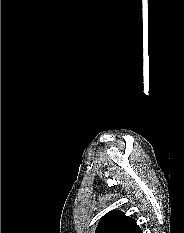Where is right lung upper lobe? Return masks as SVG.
I'll return each mask as SVG.
<instances>
[{"label":"right lung upper lobe","instance_id":"obj_1","mask_svg":"<svg viewBox=\"0 0 184 233\" xmlns=\"http://www.w3.org/2000/svg\"><path fill=\"white\" fill-rule=\"evenodd\" d=\"M139 230L134 219L121 211L112 210L101 218L95 233H138Z\"/></svg>","mask_w":184,"mask_h":233}]
</instances>
